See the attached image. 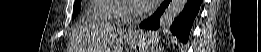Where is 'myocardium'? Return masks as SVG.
I'll use <instances>...</instances> for the list:
<instances>
[{"label":"myocardium","mask_w":261,"mask_h":52,"mask_svg":"<svg viewBox=\"0 0 261 52\" xmlns=\"http://www.w3.org/2000/svg\"><path fill=\"white\" fill-rule=\"evenodd\" d=\"M124 11L129 15H135L138 13H142L145 10H141L136 7L135 3L133 1H124L123 3Z\"/></svg>","instance_id":"f54148a6"}]
</instances>
